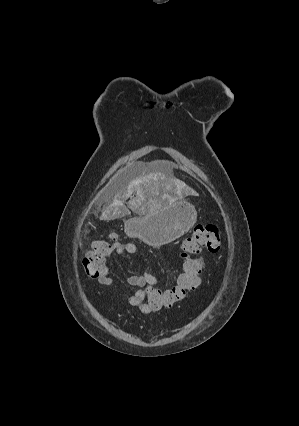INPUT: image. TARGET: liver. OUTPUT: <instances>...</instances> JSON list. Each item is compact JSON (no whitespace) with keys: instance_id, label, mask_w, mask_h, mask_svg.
Wrapping results in <instances>:
<instances>
[{"instance_id":"6515ba94","label":"liver","mask_w":299,"mask_h":426,"mask_svg":"<svg viewBox=\"0 0 299 426\" xmlns=\"http://www.w3.org/2000/svg\"><path fill=\"white\" fill-rule=\"evenodd\" d=\"M159 180L162 184H160ZM172 182V180L166 179L160 173L132 179L126 186H122L114 191L112 201L102 213L100 219H115L119 216L129 214V209L134 210L138 207H148L151 210L156 208L158 206L156 197L161 191H168ZM133 192H136L137 198L130 200L126 206V200L131 197ZM166 197L168 196L164 194L162 198Z\"/></svg>"}]
</instances>
